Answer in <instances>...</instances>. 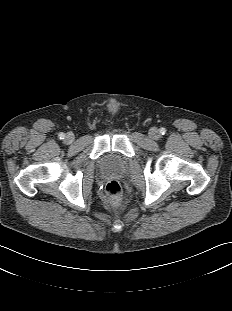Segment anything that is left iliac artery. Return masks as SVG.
Segmentation results:
<instances>
[{
  "instance_id": "left-iliac-artery-1",
  "label": "left iliac artery",
  "mask_w": 232,
  "mask_h": 311,
  "mask_svg": "<svg viewBox=\"0 0 232 311\" xmlns=\"http://www.w3.org/2000/svg\"><path fill=\"white\" fill-rule=\"evenodd\" d=\"M160 133H161L162 135H164V134L166 133V129H165V128H161V129H160Z\"/></svg>"
}]
</instances>
